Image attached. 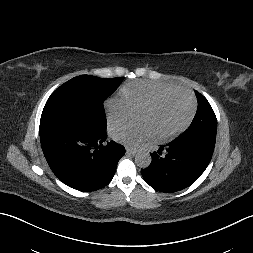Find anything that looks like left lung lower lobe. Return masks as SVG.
Masks as SVG:
<instances>
[{
  "label": "left lung lower lobe",
  "mask_w": 253,
  "mask_h": 253,
  "mask_svg": "<svg viewBox=\"0 0 253 253\" xmlns=\"http://www.w3.org/2000/svg\"><path fill=\"white\" fill-rule=\"evenodd\" d=\"M212 154L197 143L172 141L151 154L152 162L142 170V176L155 190L176 192L190 186L200 177Z\"/></svg>",
  "instance_id": "0a47b994"
}]
</instances>
